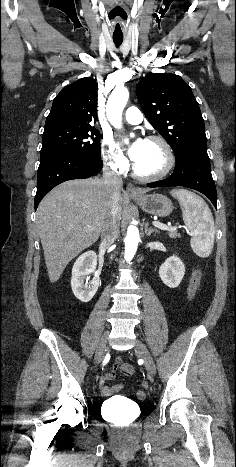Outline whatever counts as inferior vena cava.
<instances>
[{"label": "inferior vena cava", "mask_w": 236, "mask_h": 467, "mask_svg": "<svg viewBox=\"0 0 236 467\" xmlns=\"http://www.w3.org/2000/svg\"><path fill=\"white\" fill-rule=\"evenodd\" d=\"M103 183L109 191H113L114 197L117 192L121 190L123 181L116 170L104 166L103 168ZM119 216H118V205L114 198L111 210L109 211L101 230V245L104 247H110L117 239L119 234Z\"/></svg>", "instance_id": "inferior-vena-cava-1"}]
</instances>
